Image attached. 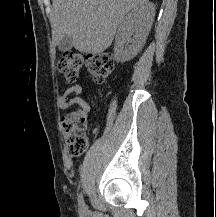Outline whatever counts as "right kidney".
<instances>
[{
	"label": "right kidney",
	"instance_id": "ca27d5eb",
	"mask_svg": "<svg viewBox=\"0 0 216 217\" xmlns=\"http://www.w3.org/2000/svg\"><path fill=\"white\" fill-rule=\"evenodd\" d=\"M155 16L153 3L135 7L122 21L115 38L114 55L118 62L133 59L141 50Z\"/></svg>",
	"mask_w": 216,
	"mask_h": 217
}]
</instances>
